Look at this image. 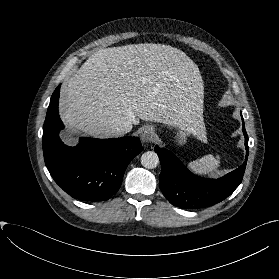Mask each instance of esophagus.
Here are the masks:
<instances>
[{"label":"esophagus","mask_w":279,"mask_h":279,"mask_svg":"<svg viewBox=\"0 0 279 279\" xmlns=\"http://www.w3.org/2000/svg\"><path fill=\"white\" fill-rule=\"evenodd\" d=\"M140 136H141V140L145 143L152 142L157 137L154 129L150 126L144 127Z\"/></svg>","instance_id":"34e87169"}]
</instances>
